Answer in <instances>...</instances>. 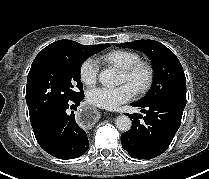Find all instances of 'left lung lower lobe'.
Segmentation results:
<instances>
[{"mask_svg": "<svg viewBox=\"0 0 209 179\" xmlns=\"http://www.w3.org/2000/svg\"><path fill=\"white\" fill-rule=\"evenodd\" d=\"M131 105L139 107L146 115H129L133 119L132 127L121 135L123 149L138 159L149 160L161 155L180 127L186 96L177 95L146 104L133 102ZM141 118L144 122H140Z\"/></svg>", "mask_w": 209, "mask_h": 179, "instance_id": "0a47b994", "label": "left lung lower lobe"}]
</instances>
